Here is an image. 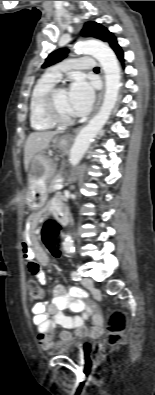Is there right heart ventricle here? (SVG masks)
<instances>
[{"mask_svg": "<svg viewBox=\"0 0 155 395\" xmlns=\"http://www.w3.org/2000/svg\"><path fill=\"white\" fill-rule=\"evenodd\" d=\"M48 74L41 77L34 85L29 99V119L30 125L34 130L45 131L54 127L52 123L47 121L42 114L41 100L44 94L56 84Z\"/></svg>", "mask_w": 155, "mask_h": 395, "instance_id": "obj_1", "label": "right heart ventricle"}]
</instances>
